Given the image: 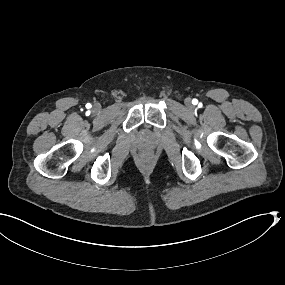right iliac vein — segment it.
Instances as JSON below:
<instances>
[{
	"label": "right iliac vein",
	"instance_id": "1",
	"mask_svg": "<svg viewBox=\"0 0 285 285\" xmlns=\"http://www.w3.org/2000/svg\"><path fill=\"white\" fill-rule=\"evenodd\" d=\"M93 110L97 113V112H99L101 110V106L99 104H95L93 106Z\"/></svg>",
	"mask_w": 285,
	"mask_h": 285
}]
</instances>
